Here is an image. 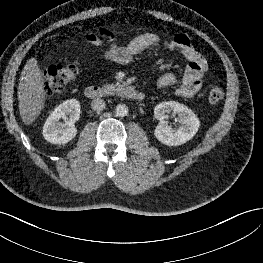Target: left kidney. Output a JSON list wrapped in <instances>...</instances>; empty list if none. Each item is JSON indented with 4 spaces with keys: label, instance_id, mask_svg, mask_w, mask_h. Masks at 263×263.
Segmentation results:
<instances>
[{
    "label": "left kidney",
    "instance_id": "left-kidney-1",
    "mask_svg": "<svg viewBox=\"0 0 263 263\" xmlns=\"http://www.w3.org/2000/svg\"><path fill=\"white\" fill-rule=\"evenodd\" d=\"M171 111L179 117L181 126L177 129L172 128L165 121L168 119L167 113ZM154 117L160 121L154 135L161 143L168 146H179L191 140L200 126V121L194 112L187 106L175 101L162 102L156 105Z\"/></svg>",
    "mask_w": 263,
    "mask_h": 263
}]
</instances>
